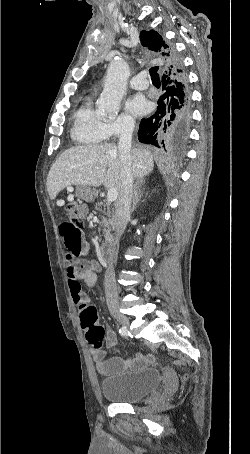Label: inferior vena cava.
<instances>
[{"instance_id": "1", "label": "inferior vena cava", "mask_w": 250, "mask_h": 454, "mask_svg": "<svg viewBox=\"0 0 250 454\" xmlns=\"http://www.w3.org/2000/svg\"><path fill=\"white\" fill-rule=\"evenodd\" d=\"M133 129L134 123L131 122L126 125L120 134L118 142V150L122 162V184L121 191L115 205L114 229L116 232V242L119 241V238L126 228L127 221L130 218L131 201L133 197V172L131 158V140ZM104 286L108 306L117 305L118 292L114 281L112 263H109V267L106 270Z\"/></svg>"}]
</instances>
